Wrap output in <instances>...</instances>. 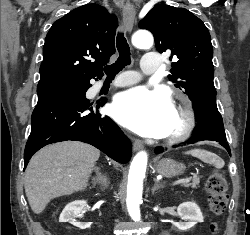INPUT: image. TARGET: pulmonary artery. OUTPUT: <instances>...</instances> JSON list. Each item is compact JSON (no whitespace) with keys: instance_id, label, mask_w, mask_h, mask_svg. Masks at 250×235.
Wrapping results in <instances>:
<instances>
[{"instance_id":"e3ab8cb5","label":"pulmonary artery","mask_w":250,"mask_h":235,"mask_svg":"<svg viewBox=\"0 0 250 235\" xmlns=\"http://www.w3.org/2000/svg\"><path fill=\"white\" fill-rule=\"evenodd\" d=\"M160 65H161V60L158 54L154 52H149L146 53L143 57L141 63V70L144 73L155 72L158 70ZM139 79L140 77L138 75L131 72L114 80L113 84L119 86H127L137 82Z\"/></svg>"}]
</instances>
